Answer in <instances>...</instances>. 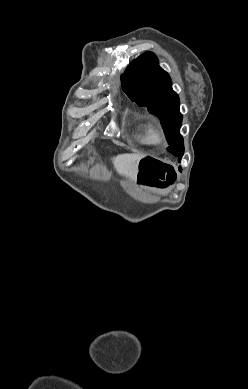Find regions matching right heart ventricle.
<instances>
[{
    "label": "right heart ventricle",
    "instance_id": "right-heart-ventricle-1",
    "mask_svg": "<svg viewBox=\"0 0 248 389\" xmlns=\"http://www.w3.org/2000/svg\"><path fill=\"white\" fill-rule=\"evenodd\" d=\"M141 142L146 145L156 144L157 129L149 121H140L137 125Z\"/></svg>",
    "mask_w": 248,
    "mask_h": 389
}]
</instances>
